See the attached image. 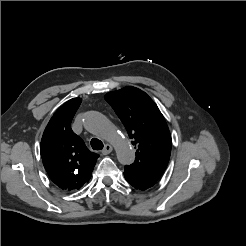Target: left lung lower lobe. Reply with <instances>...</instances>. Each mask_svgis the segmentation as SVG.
Here are the masks:
<instances>
[{
    "instance_id": "0a47b994",
    "label": "left lung lower lobe",
    "mask_w": 246,
    "mask_h": 246,
    "mask_svg": "<svg viewBox=\"0 0 246 246\" xmlns=\"http://www.w3.org/2000/svg\"><path fill=\"white\" fill-rule=\"evenodd\" d=\"M124 176L127 182L138 190H146L152 187L156 181L125 166Z\"/></svg>"
}]
</instances>
